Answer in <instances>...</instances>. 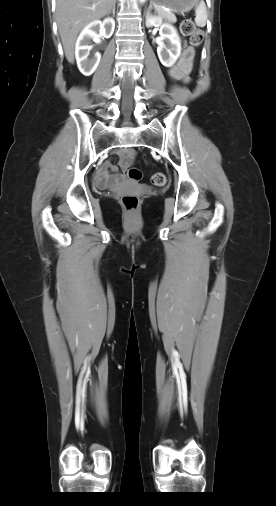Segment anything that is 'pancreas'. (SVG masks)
<instances>
[{"instance_id":"obj_1","label":"pancreas","mask_w":276,"mask_h":506,"mask_svg":"<svg viewBox=\"0 0 276 506\" xmlns=\"http://www.w3.org/2000/svg\"><path fill=\"white\" fill-rule=\"evenodd\" d=\"M156 11L160 15V17L168 20L171 23H175L177 21L176 16L174 14H172L171 12L165 11L161 7H157Z\"/></svg>"}]
</instances>
